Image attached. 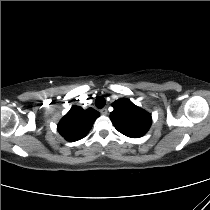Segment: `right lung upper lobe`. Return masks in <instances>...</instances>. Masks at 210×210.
<instances>
[{
  "mask_svg": "<svg viewBox=\"0 0 210 210\" xmlns=\"http://www.w3.org/2000/svg\"><path fill=\"white\" fill-rule=\"evenodd\" d=\"M99 115L93 108L83 110L73 106L59 122L58 131L68 141L80 140L86 136Z\"/></svg>",
  "mask_w": 210,
  "mask_h": 210,
  "instance_id": "obj_1",
  "label": "right lung upper lobe"
}]
</instances>
